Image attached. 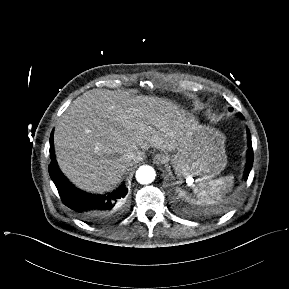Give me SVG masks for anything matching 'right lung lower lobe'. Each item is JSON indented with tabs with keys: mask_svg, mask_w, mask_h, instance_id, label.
<instances>
[{
	"mask_svg": "<svg viewBox=\"0 0 289 289\" xmlns=\"http://www.w3.org/2000/svg\"><path fill=\"white\" fill-rule=\"evenodd\" d=\"M49 174L63 203L88 223H104L116 217V210L128 193L125 185L106 195L85 193L72 185L61 173L54 155L53 132L50 136Z\"/></svg>",
	"mask_w": 289,
	"mask_h": 289,
	"instance_id": "98d812e1",
	"label": "right lung lower lobe"
}]
</instances>
